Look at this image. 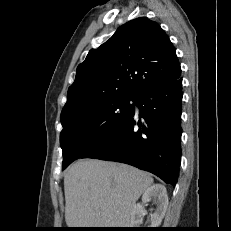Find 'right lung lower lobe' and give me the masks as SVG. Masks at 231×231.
Segmentation results:
<instances>
[{
    "label": "right lung lower lobe",
    "mask_w": 231,
    "mask_h": 231,
    "mask_svg": "<svg viewBox=\"0 0 231 231\" xmlns=\"http://www.w3.org/2000/svg\"><path fill=\"white\" fill-rule=\"evenodd\" d=\"M182 79L150 86L137 94L135 111L103 143L81 158L122 162L149 171L175 186L181 156Z\"/></svg>",
    "instance_id": "obj_1"
}]
</instances>
